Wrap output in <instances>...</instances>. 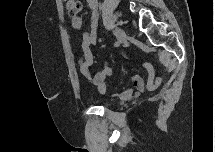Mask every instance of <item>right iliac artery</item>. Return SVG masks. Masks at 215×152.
Returning <instances> with one entry per match:
<instances>
[{"label":"right iliac artery","mask_w":215,"mask_h":152,"mask_svg":"<svg viewBox=\"0 0 215 152\" xmlns=\"http://www.w3.org/2000/svg\"><path fill=\"white\" fill-rule=\"evenodd\" d=\"M114 46H119V42L117 41V42H115V44H114Z\"/></svg>","instance_id":"1"}]
</instances>
